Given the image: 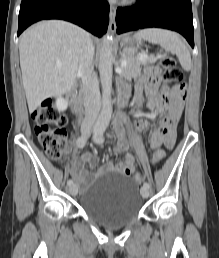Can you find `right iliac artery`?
Instances as JSON below:
<instances>
[{"mask_svg": "<svg viewBox=\"0 0 219 258\" xmlns=\"http://www.w3.org/2000/svg\"><path fill=\"white\" fill-rule=\"evenodd\" d=\"M86 142H87V136H86V135L80 136V137L77 139V142H76L77 147H78V148H83V147L85 146ZM67 184H68V186L73 185V180L69 179V180L67 181Z\"/></svg>", "mask_w": 219, "mask_h": 258, "instance_id": "82829eb1", "label": "right iliac artery"}]
</instances>
